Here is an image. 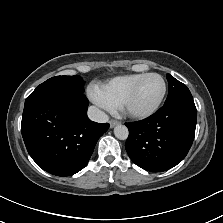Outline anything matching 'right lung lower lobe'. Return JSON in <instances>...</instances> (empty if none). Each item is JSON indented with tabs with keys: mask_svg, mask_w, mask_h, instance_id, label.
<instances>
[{
	"mask_svg": "<svg viewBox=\"0 0 223 223\" xmlns=\"http://www.w3.org/2000/svg\"><path fill=\"white\" fill-rule=\"evenodd\" d=\"M88 99L61 95L25 104L21 133L32 159L56 176H70L88 163L109 124L91 121Z\"/></svg>",
	"mask_w": 223,
	"mask_h": 223,
	"instance_id": "obj_1",
	"label": "right lung lower lobe"
}]
</instances>
